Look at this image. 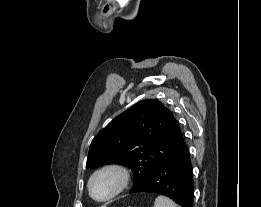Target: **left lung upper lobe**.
Returning a JSON list of instances; mask_svg holds the SVG:
<instances>
[{"label": "left lung upper lobe", "instance_id": "left-lung-upper-lobe-1", "mask_svg": "<svg viewBox=\"0 0 261 207\" xmlns=\"http://www.w3.org/2000/svg\"><path fill=\"white\" fill-rule=\"evenodd\" d=\"M184 141L173 113L157 99L142 100L114 118L92 140L86 167L122 164L134 186L171 158Z\"/></svg>", "mask_w": 261, "mask_h": 207}]
</instances>
